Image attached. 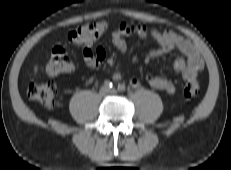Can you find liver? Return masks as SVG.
<instances>
[{
  "instance_id": "6515ba94",
  "label": "liver",
  "mask_w": 231,
  "mask_h": 170,
  "mask_svg": "<svg viewBox=\"0 0 231 170\" xmlns=\"http://www.w3.org/2000/svg\"><path fill=\"white\" fill-rule=\"evenodd\" d=\"M37 71H38V67L35 66V67H34V72L37 73Z\"/></svg>"
}]
</instances>
